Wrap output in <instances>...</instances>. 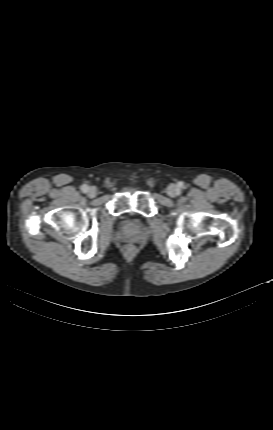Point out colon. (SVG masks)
<instances>
[{
    "label": "colon",
    "mask_w": 273,
    "mask_h": 430,
    "mask_svg": "<svg viewBox=\"0 0 273 430\" xmlns=\"http://www.w3.org/2000/svg\"><path fill=\"white\" fill-rule=\"evenodd\" d=\"M149 184H150V185H153V183H149ZM132 250H133L132 246H130V245H129V246H127V251H128V252H131Z\"/></svg>",
    "instance_id": "colon-1"
}]
</instances>
